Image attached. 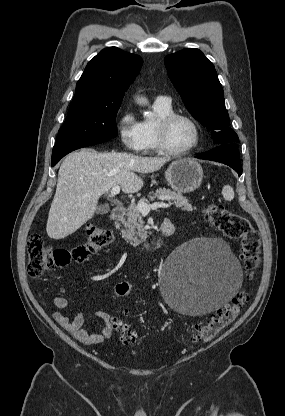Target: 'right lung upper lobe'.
<instances>
[{
    "label": "right lung upper lobe",
    "mask_w": 285,
    "mask_h": 416,
    "mask_svg": "<svg viewBox=\"0 0 285 416\" xmlns=\"http://www.w3.org/2000/svg\"><path fill=\"white\" fill-rule=\"evenodd\" d=\"M143 60L140 56L117 47L103 49L87 64L77 82L73 100L109 102L122 100L128 85L138 75Z\"/></svg>",
    "instance_id": "cb5924a9"
}]
</instances>
